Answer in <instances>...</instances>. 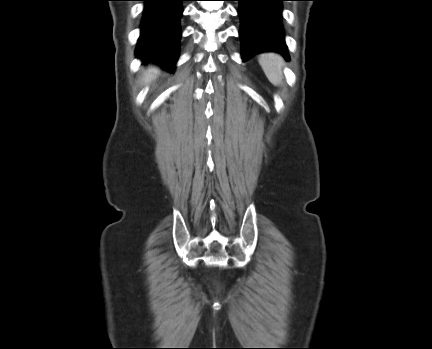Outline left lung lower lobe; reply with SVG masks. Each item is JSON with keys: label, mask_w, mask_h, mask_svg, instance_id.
<instances>
[{"label": "left lung lower lobe", "mask_w": 432, "mask_h": 349, "mask_svg": "<svg viewBox=\"0 0 432 349\" xmlns=\"http://www.w3.org/2000/svg\"><path fill=\"white\" fill-rule=\"evenodd\" d=\"M237 1L243 61L264 51L279 52L289 60L281 27V2L284 0Z\"/></svg>", "instance_id": "left-lung-lower-lobe-1"}]
</instances>
